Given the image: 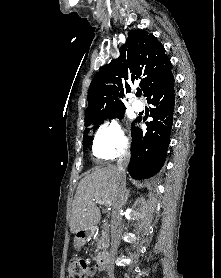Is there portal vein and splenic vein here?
<instances>
[{
    "instance_id": "obj_1",
    "label": "portal vein and splenic vein",
    "mask_w": 221,
    "mask_h": 278,
    "mask_svg": "<svg viewBox=\"0 0 221 278\" xmlns=\"http://www.w3.org/2000/svg\"><path fill=\"white\" fill-rule=\"evenodd\" d=\"M97 203L105 205V206H110L111 205L110 200H97Z\"/></svg>"
}]
</instances>
